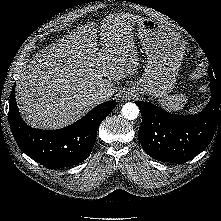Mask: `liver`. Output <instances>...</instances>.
I'll list each match as a JSON object with an SVG mask.
<instances>
[{"instance_id":"obj_1","label":"liver","mask_w":221,"mask_h":221,"mask_svg":"<svg viewBox=\"0 0 221 221\" xmlns=\"http://www.w3.org/2000/svg\"><path fill=\"white\" fill-rule=\"evenodd\" d=\"M131 16L110 15L101 23L102 49L97 25L89 23L34 56L16 84V101L30 126L70 125L99 103L91 96L94 91L105 90L111 98L114 81L134 74L139 63L127 22Z\"/></svg>"}]
</instances>
